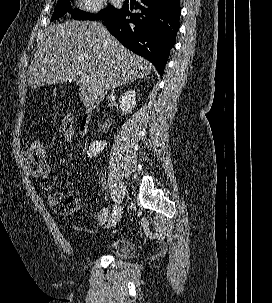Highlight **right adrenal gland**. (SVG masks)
Wrapping results in <instances>:
<instances>
[{
  "instance_id": "2a0ac1e0",
  "label": "right adrenal gland",
  "mask_w": 272,
  "mask_h": 303,
  "mask_svg": "<svg viewBox=\"0 0 272 303\" xmlns=\"http://www.w3.org/2000/svg\"><path fill=\"white\" fill-rule=\"evenodd\" d=\"M123 85H126V83L120 84L119 87H121V86H123Z\"/></svg>"
}]
</instances>
